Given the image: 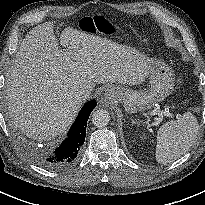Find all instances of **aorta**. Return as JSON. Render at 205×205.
<instances>
[{
  "label": "aorta",
  "instance_id": "obj_1",
  "mask_svg": "<svg viewBox=\"0 0 205 205\" xmlns=\"http://www.w3.org/2000/svg\"><path fill=\"white\" fill-rule=\"evenodd\" d=\"M92 123L98 128L105 127L110 121V114L108 111L99 109L92 114Z\"/></svg>",
  "mask_w": 205,
  "mask_h": 205
}]
</instances>
